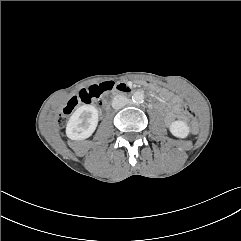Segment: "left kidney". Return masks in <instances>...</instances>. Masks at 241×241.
<instances>
[{
    "instance_id": "1",
    "label": "left kidney",
    "mask_w": 241,
    "mask_h": 241,
    "mask_svg": "<svg viewBox=\"0 0 241 241\" xmlns=\"http://www.w3.org/2000/svg\"><path fill=\"white\" fill-rule=\"evenodd\" d=\"M170 132L178 138H186L190 133L188 124L184 121H174L170 125Z\"/></svg>"
}]
</instances>
